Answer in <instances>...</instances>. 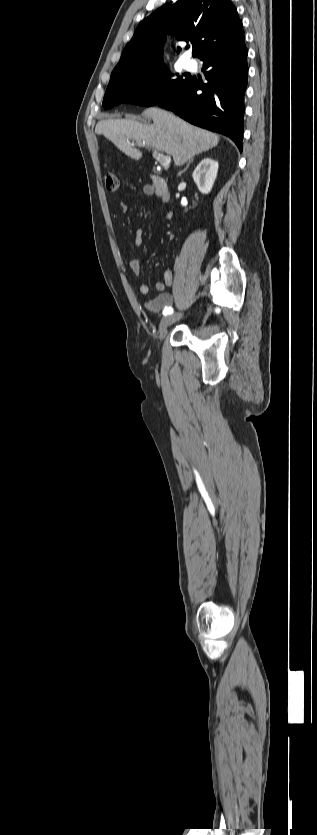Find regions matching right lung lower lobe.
<instances>
[{
    "label": "right lung lower lobe",
    "mask_w": 317,
    "mask_h": 835,
    "mask_svg": "<svg viewBox=\"0 0 317 835\" xmlns=\"http://www.w3.org/2000/svg\"><path fill=\"white\" fill-rule=\"evenodd\" d=\"M247 55L244 38L206 51L199 59L209 69L204 72L208 83L191 78L157 105L196 126L230 137L242 151Z\"/></svg>",
    "instance_id": "1"
}]
</instances>
